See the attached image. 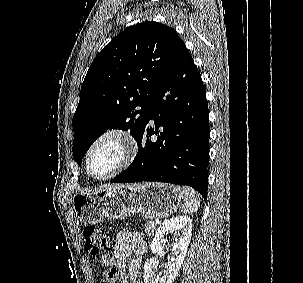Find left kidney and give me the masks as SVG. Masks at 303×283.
Returning a JSON list of instances; mask_svg holds the SVG:
<instances>
[{
  "instance_id": "left-kidney-1",
  "label": "left kidney",
  "mask_w": 303,
  "mask_h": 283,
  "mask_svg": "<svg viewBox=\"0 0 303 283\" xmlns=\"http://www.w3.org/2000/svg\"><path fill=\"white\" fill-rule=\"evenodd\" d=\"M175 232L176 240L172 244L171 256L162 272L155 273L159 260L154 257L147 259L144 264L145 283H173L183 263L192 234V220L188 216H179L165 220L157 229L150 249L153 254L162 251L165 237L169 232Z\"/></svg>"
}]
</instances>
